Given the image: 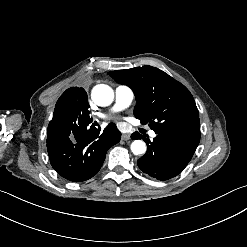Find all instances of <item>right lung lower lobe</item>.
Here are the masks:
<instances>
[{
	"label": "right lung lower lobe",
	"mask_w": 247,
	"mask_h": 247,
	"mask_svg": "<svg viewBox=\"0 0 247 247\" xmlns=\"http://www.w3.org/2000/svg\"><path fill=\"white\" fill-rule=\"evenodd\" d=\"M91 123L89 116L75 123L63 136H47L50 163L69 181L82 182L97 174L107 150L121 139V132L114 123L101 133Z\"/></svg>",
	"instance_id": "right-lung-lower-lobe-1"
}]
</instances>
